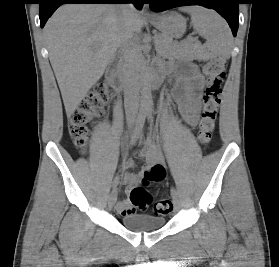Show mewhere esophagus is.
<instances>
[{"instance_id":"obj_1","label":"esophagus","mask_w":279,"mask_h":267,"mask_svg":"<svg viewBox=\"0 0 279 267\" xmlns=\"http://www.w3.org/2000/svg\"><path fill=\"white\" fill-rule=\"evenodd\" d=\"M143 13H144V15H146L147 17L153 16L152 12H151L150 9H149V5L146 4V3H145L144 6H143Z\"/></svg>"}]
</instances>
